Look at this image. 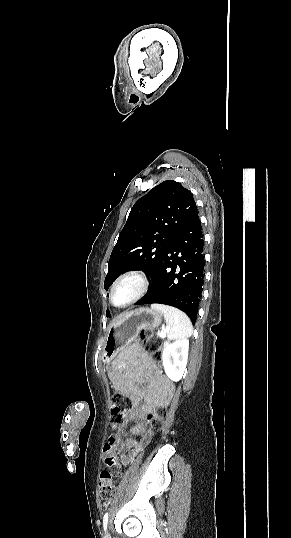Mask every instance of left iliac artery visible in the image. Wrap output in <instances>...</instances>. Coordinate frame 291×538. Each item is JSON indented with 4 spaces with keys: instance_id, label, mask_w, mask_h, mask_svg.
Instances as JSON below:
<instances>
[{
    "instance_id": "obj_1",
    "label": "left iliac artery",
    "mask_w": 291,
    "mask_h": 538,
    "mask_svg": "<svg viewBox=\"0 0 291 538\" xmlns=\"http://www.w3.org/2000/svg\"><path fill=\"white\" fill-rule=\"evenodd\" d=\"M107 523H108V512H106L104 514V517H103V528H104V531H106L107 529Z\"/></svg>"
}]
</instances>
